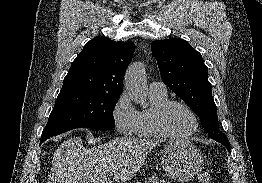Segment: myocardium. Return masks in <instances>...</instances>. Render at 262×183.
I'll use <instances>...</instances> for the list:
<instances>
[{"label": "myocardium", "mask_w": 262, "mask_h": 183, "mask_svg": "<svg viewBox=\"0 0 262 183\" xmlns=\"http://www.w3.org/2000/svg\"><path fill=\"white\" fill-rule=\"evenodd\" d=\"M174 105H180L185 107L193 116L194 118V128L184 134H175L172 133L166 126V115L168 111L174 106ZM154 125L158 133L165 138H171V139H186L194 134H196L200 127V119L198 117V114L196 111L190 106L188 103L182 101V100H168L164 104H162L156 111L154 115Z\"/></svg>", "instance_id": "myocardium-1"}]
</instances>
